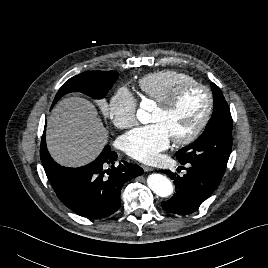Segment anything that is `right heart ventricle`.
I'll return each instance as SVG.
<instances>
[{
    "label": "right heart ventricle",
    "instance_id": "e07e8e85",
    "mask_svg": "<svg viewBox=\"0 0 268 268\" xmlns=\"http://www.w3.org/2000/svg\"><path fill=\"white\" fill-rule=\"evenodd\" d=\"M194 81L193 77L183 72L164 69L139 79L138 87L146 98L161 104L166 102L180 86Z\"/></svg>",
    "mask_w": 268,
    "mask_h": 268
}]
</instances>
